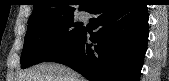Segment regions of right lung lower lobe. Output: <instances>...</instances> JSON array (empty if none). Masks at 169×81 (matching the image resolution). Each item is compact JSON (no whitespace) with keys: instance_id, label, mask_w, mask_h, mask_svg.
Returning a JSON list of instances; mask_svg holds the SVG:
<instances>
[{"instance_id":"right-lung-lower-lobe-1","label":"right lung lower lobe","mask_w":169,"mask_h":81,"mask_svg":"<svg viewBox=\"0 0 169 81\" xmlns=\"http://www.w3.org/2000/svg\"><path fill=\"white\" fill-rule=\"evenodd\" d=\"M96 33L85 28L45 61L69 66L89 81H139L148 40L147 6L139 0H94L88 11Z\"/></svg>"}]
</instances>
